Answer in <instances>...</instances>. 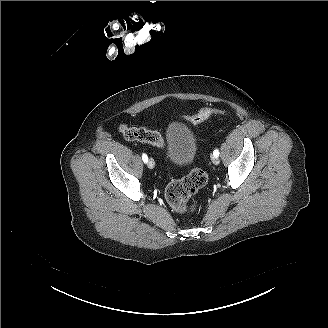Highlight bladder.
<instances>
[{"label":"bladder","instance_id":"31cf9c89","mask_svg":"<svg viewBox=\"0 0 328 328\" xmlns=\"http://www.w3.org/2000/svg\"><path fill=\"white\" fill-rule=\"evenodd\" d=\"M168 145L170 159L177 165L188 163L197 155L195 140L176 122L169 128Z\"/></svg>","mask_w":328,"mask_h":328}]
</instances>
